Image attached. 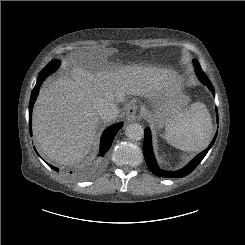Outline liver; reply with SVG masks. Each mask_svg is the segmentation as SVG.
Returning a JSON list of instances; mask_svg holds the SVG:
<instances>
[{"label":"liver","instance_id":"obj_1","mask_svg":"<svg viewBox=\"0 0 245 245\" xmlns=\"http://www.w3.org/2000/svg\"><path fill=\"white\" fill-rule=\"evenodd\" d=\"M180 87L169 69L137 65L87 69L74 66L40 90L33 110V135L42 155L69 166L82 161L99 124L96 102L122 103L125 95L147 96Z\"/></svg>","mask_w":245,"mask_h":245}]
</instances>
